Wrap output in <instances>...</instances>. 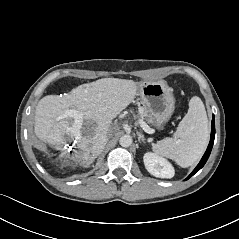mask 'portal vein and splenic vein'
I'll return each instance as SVG.
<instances>
[{
  "mask_svg": "<svg viewBox=\"0 0 239 239\" xmlns=\"http://www.w3.org/2000/svg\"><path fill=\"white\" fill-rule=\"evenodd\" d=\"M71 117L74 119V125L68 129L69 132L75 133L82 123V114L74 109L67 110L59 119ZM139 124L146 133H153V130L142 120H139Z\"/></svg>",
  "mask_w": 239,
  "mask_h": 239,
  "instance_id": "18ae733b",
  "label": "portal vein and splenic vein"
}]
</instances>
